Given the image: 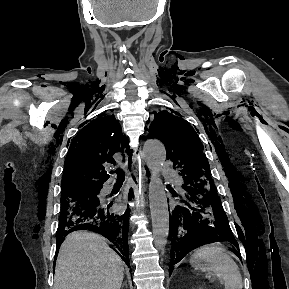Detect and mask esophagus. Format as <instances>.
Masks as SVG:
<instances>
[{"label":"esophagus","instance_id":"1","mask_svg":"<svg viewBox=\"0 0 289 289\" xmlns=\"http://www.w3.org/2000/svg\"><path fill=\"white\" fill-rule=\"evenodd\" d=\"M139 171L142 174V180L144 183L148 182V175H147V169L145 167V164L143 161H141L140 157H139ZM138 185L140 186V182H138ZM135 195V199H138V194H136V192H134Z\"/></svg>","mask_w":289,"mask_h":289}]
</instances>
